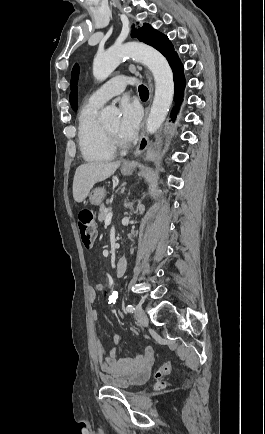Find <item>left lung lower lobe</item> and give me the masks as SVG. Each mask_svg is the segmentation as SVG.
<instances>
[{
    "label": "left lung lower lobe",
    "instance_id": "1",
    "mask_svg": "<svg viewBox=\"0 0 265 434\" xmlns=\"http://www.w3.org/2000/svg\"><path fill=\"white\" fill-rule=\"evenodd\" d=\"M169 64L173 70L175 82L176 107L173 108L171 113L172 121H174L178 114L179 106L183 100V91L186 85V81L183 73V65L177 55L169 62Z\"/></svg>",
    "mask_w": 265,
    "mask_h": 434
}]
</instances>
